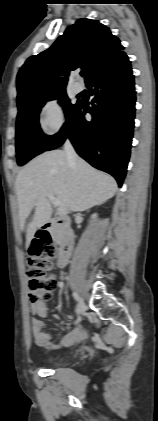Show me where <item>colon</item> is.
<instances>
[{
  "label": "colon",
  "instance_id": "colon-1",
  "mask_svg": "<svg viewBox=\"0 0 158 421\" xmlns=\"http://www.w3.org/2000/svg\"><path fill=\"white\" fill-rule=\"evenodd\" d=\"M57 254L48 234L39 233L27 257V278L31 303L46 302L51 299L56 287L55 276L50 272L52 258Z\"/></svg>",
  "mask_w": 158,
  "mask_h": 421
}]
</instances>
